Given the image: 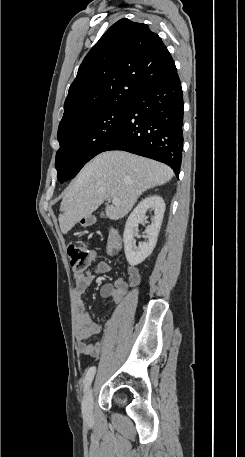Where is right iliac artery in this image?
I'll list each match as a JSON object with an SVG mask.
<instances>
[{"instance_id": "1", "label": "right iliac artery", "mask_w": 245, "mask_h": 457, "mask_svg": "<svg viewBox=\"0 0 245 457\" xmlns=\"http://www.w3.org/2000/svg\"><path fill=\"white\" fill-rule=\"evenodd\" d=\"M95 371H96V368L95 366L91 367L88 371H87V374H86V377H85V380H84V388L85 390L88 389L89 385L91 384L92 382V379L95 375Z\"/></svg>"}]
</instances>
